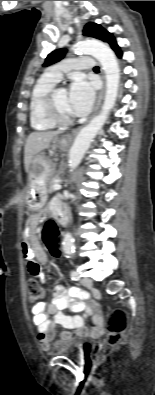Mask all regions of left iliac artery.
Returning a JSON list of instances; mask_svg holds the SVG:
<instances>
[{"label":"left iliac artery","instance_id":"obj_1","mask_svg":"<svg viewBox=\"0 0 155 395\" xmlns=\"http://www.w3.org/2000/svg\"><path fill=\"white\" fill-rule=\"evenodd\" d=\"M70 276H71L72 280H79V278H80L79 273L75 270L71 271Z\"/></svg>","mask_w":155,"mask_h":395}]
</instances>
